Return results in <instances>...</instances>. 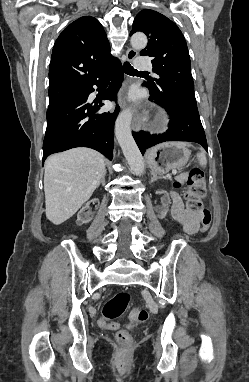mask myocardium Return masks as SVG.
I'll list each match as a JSON object with an SVG mask.
<instances>
[{
    "instance_id": "obj_1",
    "label": "myocardium",
    "mask_w": 249,
    "mask_h": 382,
    "mask_svg": "<svg viewBox=\"0 0 249 382\" xmlns=\"http://www.w3.org/2000/svg\"><path fill=\"white\" fill-rule=\"evenodd\" d=\"M159 122H160V123H164V122H165V118L162 117V116H160V117H159Z\"/></svg>"
}]
</instances>
